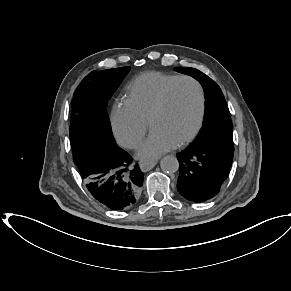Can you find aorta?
<instances>
[{
  "mask_svg": "<svg viewBox=\"0 0 291 291\" xmlns=\"http://www.w3.org/2000/svg\"><path fill=\"white\" fill-rule=\"evenodd\" d=\"M160 167L164 172H176L179 168L178 160L175 156L168 155L161 159Z\"/></svg>",
  "mask_w": 291,
  "mask_h": 291,
  "instance_id": "1",
  "label": "aorta"
}]
</instances>
